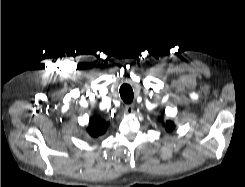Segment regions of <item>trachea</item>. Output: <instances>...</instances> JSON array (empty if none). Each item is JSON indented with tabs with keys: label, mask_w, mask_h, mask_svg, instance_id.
Returning <instances> with one entry per match:
<instances>
[{
	"label": "trachea",
	"mask_w": 245,
	"mask_h": 187,
	"mask_svg": "<svg viewBox=\"0 0 245 187\" xmlns=\"http://www.w3.org/2000/svg\"><path fill=\"white\" fill-rule=\"evenodd\" d=\"M120 96L125 103H131L133 101V90L128 84H123L120 87Z\"/></svg>",
	"instance_id": "obj_1"
}]
</instances>
